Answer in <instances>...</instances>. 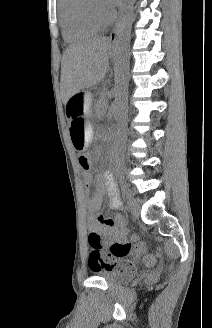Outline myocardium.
Instances as JSON below:
<instances>
[{"label": "myocardium", "mask_w": 212, "mask_h": 328, "mask_svg": "<svg viewBox=\"0 0 212 328\" xmlns=\"http://www.w3.org/2000/svg\"><path fill=\"white\" fill-rule=\"evenodd\" d=\"M83 13L89 22L101 28L110 25L114 20V14L112 12L107 17L100 15L93 7V0H85Z\"/></svg>", "instance_id": "myocardium-1"}]
</instances>
